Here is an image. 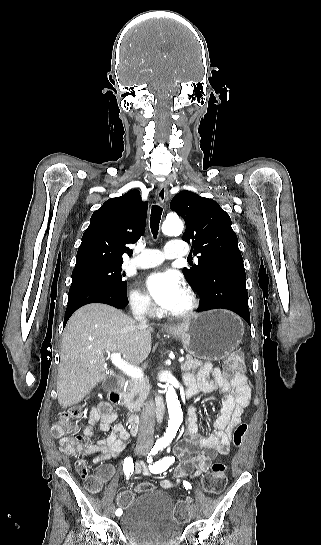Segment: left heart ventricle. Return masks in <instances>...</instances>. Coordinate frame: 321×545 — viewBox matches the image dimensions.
I'll return each instance as SVG.
<instances>
[{
	"mask_svg": "<svg viewBox=\"0 0 321 545\" xmlns=\"http://www.w3.org/2000/svg\"><path fill=\"white\" fill-rule=\"evenodd\" d=\"M190 304L189 298L184 290L178 296V299L171 312H180L188 308Z\"/></svg>",
	"mask_w": 321,
	"mask_h": 545,
	"instance_id": "1",
	"label": "left heart ventricle"
}]
</instances>
